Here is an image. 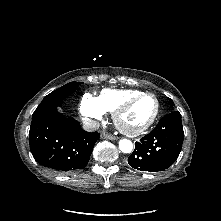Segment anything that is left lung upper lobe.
Listing matches in <instances>:
<instances>
[{"label":"left lung upper lobe","instance_id":"5c2ea615","mask_svg":"<svg viewBox=\"0 0 221 221\" xmlns=\"http://www.w3.org/2000/svg\"><path fill=\"white\" fill-rule=\"evenodd\" d=\"M170 104H171V105H174V103H173V101H172L171 99H170Z\"/></svg>","mask_w":221,"mask_h":221}]
</instances>
